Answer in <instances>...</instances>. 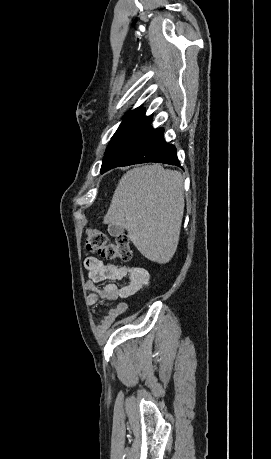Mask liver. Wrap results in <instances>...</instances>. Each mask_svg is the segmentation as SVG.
<instances>
[{
  "mask_svg": "<svg viewBox=\"0 0 271 459\" xmlns=\"http://www.w3.org/2000/svg\"><path fill=\"white\" fill-rule=\"evenodd\" d=\"M183 214L180 172L153 164L133 168L122 176L104 224L123 226L142 255L167 263L178 245Z\"/></svg>",
  "mask_w": 271,
  "mask_h": 459,
  "instance_id": "1",
  "label": "liver"
}]
</instances>
